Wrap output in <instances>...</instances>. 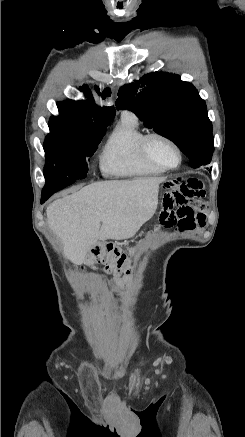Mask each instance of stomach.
I'll return each mask as SVG.
<instances>
[{"label":"stomach","instance_id":"obj_1","mask_svg":"<svg viewBox=\"0 0 245 437\" xmlns=\"http://www.w3.org/2000/svg\"><path fill=\"white\" fill-rule=\"evenodd\" d=\"M177 183H179V180L177 178H170V179H165L160 186V190L165 193L166 191L174 188Z\"/></svg>","mask_w":245,"mask_h":437}]
</instances>
